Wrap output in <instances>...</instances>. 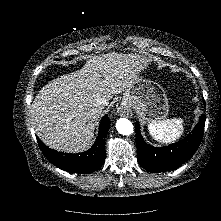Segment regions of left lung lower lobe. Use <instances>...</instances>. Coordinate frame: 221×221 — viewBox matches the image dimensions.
I'll return each instance as SVG.
<instances>
[{
  "label": "left lung lower lobe",
  "instance_id": "obj_1",
  "mask_svg": "<svg viewBox=\"0 0 221 221\" xmlns=\"http://www.w3.org/2000/svg\"><path fill=\"white\" fill-rule=\"evenodd\" d=\"M206 117L201 115L199 123L183 140L162 148L147 144L140 134L138 122L135 124L138 163L150 172L172 170L190 159L199 147L204 132Z\"/></svg>",
  "mask_w": 221,
  "mask_h": 221
}]
</instances>
